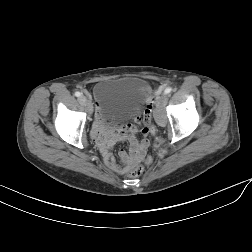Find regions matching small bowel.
<instances>
[{
  "label": "small bowel",
  "instance_id": "c3829d8e",
  "mask_svg": "<svg viewBox=\"0 0 252 252\" xmlns=\"http://www.w3.org/2000/svg\"><path fill=\"white\" fill-rule=\"evenodd\" d=\"M150 90V88H148ZM96 123L92 132L93 138L101 145L103 156L108 168L119 174L128 171L135 164L145 160L147 163L148 158H145L146 151L149 147L148 136L154 132L153 125L144 124L140 128L142 122L139 111L132 114L133 123H121L114 128H108L104 124V119L97 113ZM140 133L141 139L139 140L137 134ZM118 141H127L130 146V153L125 151L119 152L120 164H118L110 153V148Z\"/></svg>",
  "mask_w": 252,
  "mask_h": 252
}]
</instances>
